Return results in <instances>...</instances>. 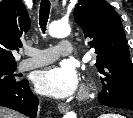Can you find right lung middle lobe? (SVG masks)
Returning <instances> with one entry per match:
<instances>
[{
  "label": "right lung middle lobe",
  "instance_id": "obj_1",
  "mask_svg": "<svg viewBox=\"0 0 133 118\" xmlns=\"http://www.w3.org/2000/svg\"><path fill=\"white\" fill-rule=\"evenodd\" d=\"M16 69V63H0V87L11 86L18 83L15 80L13 72Z\"/></svg>",
  "mask_w": 133,
  "mask_h": 118
}]
</instances>
